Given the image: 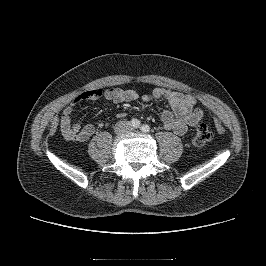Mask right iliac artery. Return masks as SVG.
Returning a JSON list of instances; mask_svg holds the SVG:
<instances>
[{"mask_svg":"<svg viewBox=\"0 0 266 266\" xmlns=\"http://www.w3.org/2000/svg\"><path fill=\"white\" fill-rule=\"evenodd\" d=\"M140 121L138 119H132L130 121V125L133 127V128H138L140 126Z\"/></svg>","mask_w":266,"mask_h":266,"instance_id":"obj_1","label":"right iliac artery"}]
</instances>
